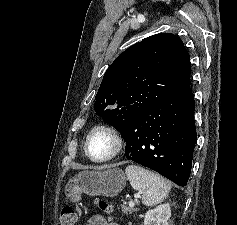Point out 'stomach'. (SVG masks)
Instances as JSON below:
<instances>
[{"instance_id":"stomach-1","label":"stomach","mask_w":237,"mask_h":225,"mask_svg":"<svg viewBox=\"0 0 237 225\" xmlns=\"http://www.w3.org/2000/svg\"><path fill=\"white\" fill-rule=\"evenodd\" d=\"M126 176L117 167L106 170H85L70 179L65 186V195L72 202H77L81 194L105 197L117 196L126 186Z\"/></svg>"}]
</instances>
